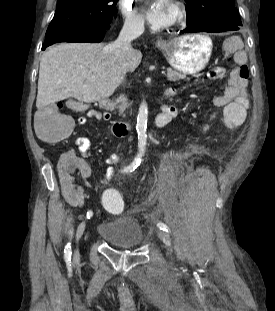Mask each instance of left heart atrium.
Wrapping results in <instances>:
<instances>
[{
  "label": "left heart atrium",
  "instance_id": "left-heart-atrium-1",
  "mask_svg": "<svg viewBox=\"0 0 275 311\" xmlns=\"http://www.w3.org/2000/svg\"><path fill=\"white\" fill-rule=\"evenodd\" d=\"M171 0H150L145 7L148 22L156 28L166 27L172 20Z\"/></svg>",
  "mask_w": 275,
  "mask_h": 311
}]
</instances>
